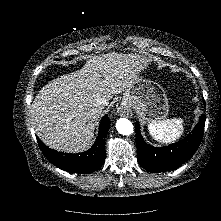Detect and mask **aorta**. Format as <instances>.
<instances>
[{
    "mask_svg": "<svg viewBox=\"0 0 221 221\" xmlns=\"http://www.w3.org/2000/svg\"><path fill=\"white\" fill-rule=\"evenodd\" d=\"M116 129L122 135H131L133 133V124L126 118H120L116 122Z\"/></svg>",
    "mask_w": 221,
    "mask_h": 221,
    "instance_id": "762f6f07",
    "label": "aorta"
}]
</instances>
